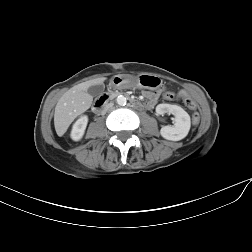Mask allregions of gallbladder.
Wrapping results in <instances>:
<instances>
[{
    "mask_svg": "<svg viewBox=\"0 0 252 252\" xmlns=\"http://www.w3.org/2000/svg\"><path fill=\"white\" fill-rule=\"evenodd\" d=\"M104 88H105L104 84H97V85H93V86L89 87L87 92L92 97H97L103 93Z\"/></svg>",
    "mask_w": 252,
    "mask_h": 252,
    "instance_id": "gallbladder-1",
    "label": "gallbladder"
}]
</instances>
